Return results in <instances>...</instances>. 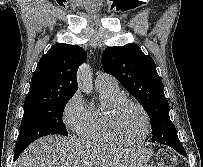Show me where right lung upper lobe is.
Instances as JSON below:
<instances>
[{"label":"right lung upper lobe","mask_w":203,"mask_h":167,"mask_svg":"<svg viewBox=\"0 0 203 167\" xmlns=\"http://www.w3.org/2000/svg\"><path fill=\"white\" fill-rule=\"evenodd\" d=\"M86 57L78 45H53L38 62L24 103L73 96L78 89L76 72Z\"/></svg>","instance_id":"1"}]
</instances>
